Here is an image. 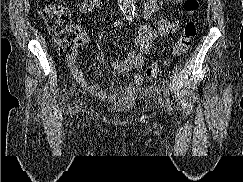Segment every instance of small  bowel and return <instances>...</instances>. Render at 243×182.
Here are the masks:
<instances>
[{"label": "small bowel", "instance_id": "c3829d8e", "mask_svg": "<svg viewBox=\"0 0 243 182\" xmlns=\"http://www.w3.org/2000/svg\"><path fill=\"white\" fill-rule=\"evenodd\" d=\"M174 3H180L182 0H172ZM159 0H147L144 7V18L147 19L152 13L158 9ZM99 7V0H84L79 5V11L81 13H90ZM124 26L123 21L117 20L112 23V28L117 29ZM179 28L177 21L169 19H162L157 25V29H154L146 22L141 23L137 28V33L134 37V44L136 50H131L120 59L111 63V69L120 74L128 76L133 70H137L143 67L145 62V56L150 53L153 46L160 37L168 36L175 33ZM89 43V38L81 34L78 38L77 47L85 46ZM67 67L70 70L75 81L86 92L96 96L98 99L106 102H114L120 96H135L142 87L143 79L140 74H135L131 80L126 79V87L123 91L109 92L103 89L99 84L89 81L84 77L83 71L78 67L75 58L67 60Z\"/></svg>", "mask_w": 243, "mask_h": 182}]
</instances>
